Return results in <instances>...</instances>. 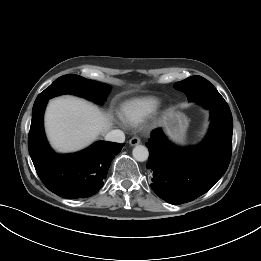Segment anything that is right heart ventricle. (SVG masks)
<instances>
[{"label":"right heart ventricle","mask_w":261,"mask_h":261,"mask_svg":"<svg viewBox=\"0 0 261 261\" xmlns=\"http://www.w3.org/2000/svg\"><path fill=\"white\" fill-rule=\"evenodd\" d=\"M158 105L159 100L152 96L131 99L120 106L119 116L128 125H137L150 116Z\"/></svg>","instance_id":"obj_1"}]
</instances>
